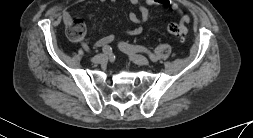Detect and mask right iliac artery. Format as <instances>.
I'll return each mask as SVG.
<instances>
[{
    "label": "right iliac artery",
    "instance_id": "1",
    "mask_svg": "<svg viewBox=\"0 0 253 138\" xmlns=\"http://www.w3.org/2000/svg\"><path fill=\"white\" fill-rule=\"evenodd\" d=\"M81 46H82V48L84 49V51H85L86 53H89V52H90V49H89V47L87 46V44H86L85 42H82V43H81ZM110 51H111V49H110L109 46H104V47H103V52H104V53H109Z\"/></svg>",
    "mask_w": 253,
    "mask_h": 138
}]
</instances>
